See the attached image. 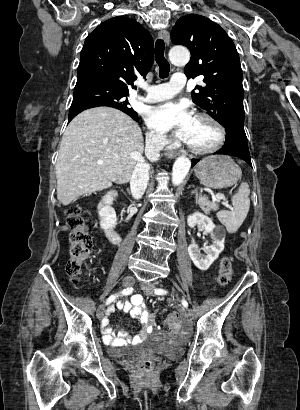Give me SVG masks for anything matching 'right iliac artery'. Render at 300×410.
Segmentation results:
<instances>
[{"label":"right iliac artery","mask_w":300,"mask_h":410,"mask_svg":"<svg viewBox=\"0 0 300 410\" xmlns=\"http://www.w3.org/2000/svg\"><path fill=\"white\" fill-rule=\"evenodd\" d=\"M132 292H133V288H132V287H128V288L122 290V291L120 292V294L127 296V295L132 294ZM120 294H114V295H111L109 298H107V300H106V305H108V304H110L111 302H113V301L116 299V297H118Z\"/></svg>","instance_id":"right-iliac-artery-1"}]
</instances>
